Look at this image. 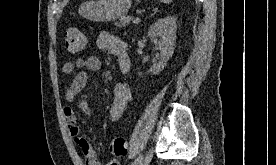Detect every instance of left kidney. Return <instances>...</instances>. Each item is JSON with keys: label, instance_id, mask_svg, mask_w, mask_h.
I'll return each instance as SVG.
<instances>
[{"label": "left kidney", "instance_id": "5707ae66", "mask_svg": "<svg viewBox=\"0 0 276 165\" xmlns=\"http://www.w3.org/2000/svg\"><path fill=\"white\" fill-rule=\"evenodd\" d=\"M176 21L177 18L175 16H167L157 20L150 26L148 37L160 50L161 56L159 62L148 70L149 73H160L166 67L168 60L172 57L176 41Z\"/></svg>", "mask_w": 276, "mask_h": 165}]
</instances>
